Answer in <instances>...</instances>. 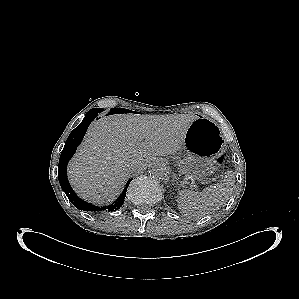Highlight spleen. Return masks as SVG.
<instances>
[{
	"label": "spleen",
	"mask_w": 299,
	"mask_h": 299,
	"mask_svg": "<svg viewBox=\"0 0 299 299\" xmlns=\"http://www.w3.org/2000/svg\"><path fill=\"white\" fill-rule=\"evenodd\" d=\"M235 176L229 172L223 183L205 188L197 194L192 190H182L177 198V206L181 214L189 218L200 219L219 209L229 199Z\"/></svg>",
	"instance_id": "3e777b00"
}]
</instances>
